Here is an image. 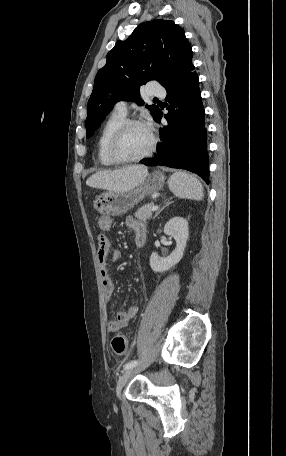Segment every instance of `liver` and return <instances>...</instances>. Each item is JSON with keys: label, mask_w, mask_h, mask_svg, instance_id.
<instances>
[{"label": "liver", "mask_w": 286, "mask_h": 456, "mask_svg": "<svg viewBox=\"0 0 286 456\" xmlns=\"http://www.w3.org/2000/svg\"><path fill=\"white\" fill-rule=\"evenodd\" d=\"M147 176V167L131 165L117 170L97 171L87 179L86 185L112 192H125L142 184Z\"/></svg>", "instance_id": "6515ba94"}]
</instances>
